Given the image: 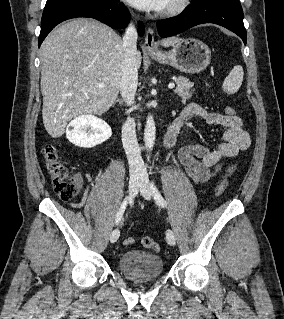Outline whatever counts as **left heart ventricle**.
<instances>
[{
  "instance_id": "1",
  "label": "left heart ventricle",
  "mask_w": 284,
  "mask_h": 319,
  "mask_svg": "<svg viewBox=\"0 0 284 319\" xmlns=\"http://www.w3.org/2000/svg\"><path fill=\"white\" fill-rule=\"evenodd\" d=\"M170 1H172V0H169V1H168V3H167V5H166V7L169 5Z\"/></svg>"
}]
</instances>
